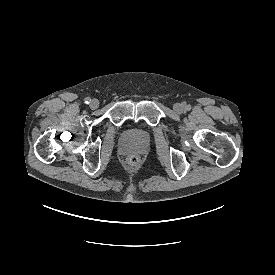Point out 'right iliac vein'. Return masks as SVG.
<instances>
[{
	"label": "right iliac vein",
	"instance_id": "63e3f726",
	"mask_svg": "<svg viewBox=\"0 0 275 275\" xmlns=\"http://www.w3.org/2000/svg\"><path fill=\"white\" fill-rule=\"evenodd\" d=\"M99 106V101L97 99H93L91 102H90V107L92 109H96L97 107Z\"/></svg>",
	"mask_w": 275,
	"mask_h": 275
}]
</instances>
